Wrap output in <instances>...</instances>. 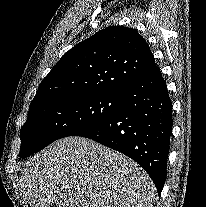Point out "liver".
<instances>
[{
    "label": "liver",
    "instance_id": "1",
    "mask_svg": "<svg viewBox=\"0 0 206 207\" xmlns=\"http://www.w3.org/2000/svg\"><path fill=\"white\" fill-rule=\"evenodd\" d=\"M20 186L30 207H152L155 200V186L136 162L78 136L25 162Z\"/></svg>",
    "mask_w": 206,
    "mask_h": 207
}]
</instances>
